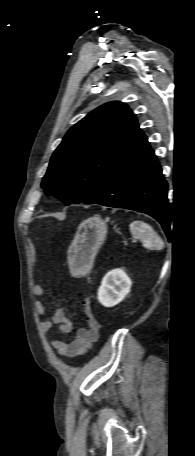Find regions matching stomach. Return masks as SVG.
I'll return each mask as SVG.
<instances>
[{
	"mask_svg": "<svg viewBox=\"0 0 195 456\" xmlns=\"http://www.w3.org/2000/svg\"><path fill=\"white\" fill-rule=\"evenodd\" d=\"M107 234L106 222L98 216L82 221L68 249V263L74 275L90 271Z\"/></svg>",
	"mask_w": 195,
	"mask_h": 456,
	"instance_id": "0dacf381",
	"label": "stomach"
}]
</instances>
